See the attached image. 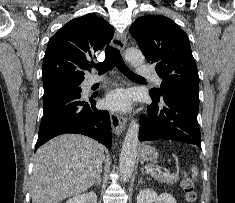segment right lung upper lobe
I'll return each mask as SVG.
<instances>
[{"instance_id": "right-lung-upper-lobe-1", "label": "right lung upper lobe", "mask_w": 235, "mask_h": 203, "mask_svg": "<svg viewBox=\"0 0 235 203\" xmlns=\"http://www.w3.org/2000/svg\"><path fill=\"white\" fill-rule=\"evenodd\" d=\"M114 29L102 17L87 14L64 25L48 42L43 59V85L82 82L89 59L113 37Z\"/></svg>"}]
</instances>
